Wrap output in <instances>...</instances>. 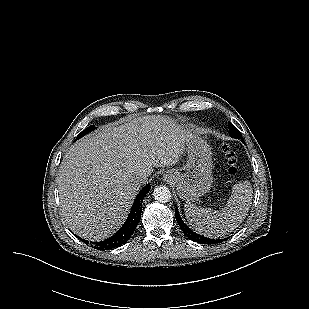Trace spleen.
<instances>
[{"label": "spleen", "mask_w": 309, "mask_h": 309, "mask_svg": "<svg viewBox=\"0 0 309 309\" xmlns=\"http://www.w3.org/2000/svg\"><path fill=\"white\" fill-rule=\"evenodd\" d=\"M252 193L250 183L245 181L233 186L232 194L222 210L200 208L186 203L184 210L187 221L201 235L210 238L224 237L246 218L252 203Z\"/></svg>", "instance_id": "obj_1"}]
</instances>
